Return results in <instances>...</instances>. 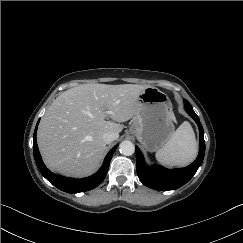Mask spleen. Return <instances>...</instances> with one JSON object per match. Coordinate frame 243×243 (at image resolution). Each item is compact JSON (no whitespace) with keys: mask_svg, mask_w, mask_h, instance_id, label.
<instances>
[{"mask_svg":"<svg viewBox=\"0 0 243 243\" xmlns=\"http://www.w3.org/2000/svg\"><path fill=\"white\" fill-rule=\"evenodd\" d=\"M197 155V143L189 122H183L167 143L156 152V159L167 166H185Z\"/></svg>","mask_w":243,"mask_h":243,"instance_id":"1","label":"spleen"}]
</instances>
